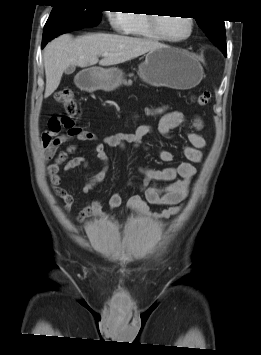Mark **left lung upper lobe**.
I'll list each match as a JSON object with an SVG mask.
<instances>
[{
	"label": "left lung upper lobe",
	"instance_id": "1",
	"mask_svg": "<svg viewBox=\"0 0 261 355\" xmlns=\"http://www.w3.org/2000/svg\"><path fill=\"white\" fill-rule=\"evenodd\" d=\"M195 19L207 37L211 40V42H213L226 56L227 47L224 21L205 18Z\"/></svg>",
	"mask_w": 261,
	"mask_h": 355
}]
</instances>
